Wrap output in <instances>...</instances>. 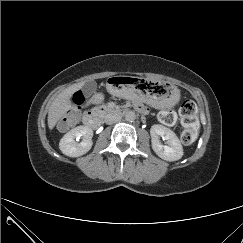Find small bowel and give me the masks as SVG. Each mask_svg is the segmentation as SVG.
Masks as SVG:
<instances>
[{
  "mask_svg": "<svg viewBox=\"0 0 243 243\" xmlns=\"http://www.w3.org/2000/svg\"><path fill=\"white\" fill-rule=\"evenodd\" d=\"M102 99H103L102 95L97 94V95H95V96L92 97L91 102L92 103H99V102L102 101ZM137 108L141 109V106L140 105H137Z\"/></svg>",
  "mask_w": 243,
  "mask_h": 243,
  "instance_id": "c3829d8e",
  "label": "small bowel"
}]
</instances>
